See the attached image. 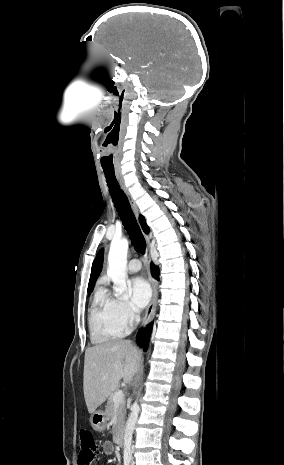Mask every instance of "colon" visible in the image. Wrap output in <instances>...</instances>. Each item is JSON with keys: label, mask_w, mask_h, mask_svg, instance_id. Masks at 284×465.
Returning <instances> with one entry per match:
<instances>
[{"label": "colon", "mask_w": 284, "mask_h": 465, "mask_svg": "<svg viewBox=\"0 0 284 465\" xmlns=\"http://www.w3.org/2000/svg\"><path fill=\"white\" fill-rule=\"evenodd\" d=\"M80 454L79 465H90L96 453V443L94 436L89 430H81L79 433Z\"/></svg>", "instance_id": "5ec220e1"}]
</instances>
